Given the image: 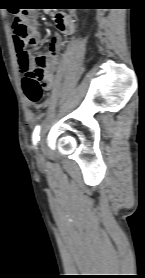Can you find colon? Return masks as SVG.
<instances>
[{"label": "colon", "mask_w": 145, "mask_h": 278, "mask_svg": "<svg viewBox=\"0 0 145 278\" xmlns=\"http://www.w3.org/2000/svg\"><path fill=\"white\" fill-rule=\"evenodd\" d=\"M12 32L16 38L17 53L27 52L25 45L28 37V28L23 17L15 19ZM33 60L35 67L25 72L23 76V91L30 103L38 105L43 100L46 61L42 55L35 56Z\"/></svg>", "instance_id": "colon-1"}]
</instances>
